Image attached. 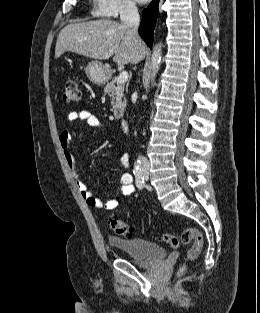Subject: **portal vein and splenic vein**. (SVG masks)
<instances>
[{
	"label": "portal vein and splenic vein",
	"instance_id": "obj_1",
	"mask_svg": "<svg viewBox=\"0 0 260 313\" xmlns=\"http://www.w3.org/2000/svg\"><path fill=\"white\" fill-rule=\"evenodd\" d=\"M128 80V72L122 71L118 77V83H125Z\"/></svg>",
	"mask_w": 260,
	"mask_h": 313
}]
</instances>
